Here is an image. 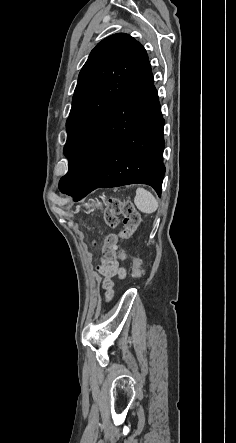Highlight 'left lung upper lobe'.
I'll list each match as a JSON object with an SVG mask.
<instances>
[{
  "mask_svg": "<svg viewBox=\"0 0 236 443\" xmlns=\"http://www.w3.org/2000/svg\"><path fill=\"white\" fill-rule=\"evenodd\" d=\"M148 62L144 47L125 33L111 35L97 44L80 71L66 122L64 154L74 149L97 119L129 87Z\"/></svg>",
  "mask_w": 236,
  "mask_h": 443,
  "instance_id": "1",
  "label": "left lung upper lobe"
}]
</instances>
